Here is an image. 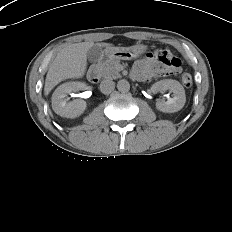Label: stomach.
I'll return each mask as SVG.
<instances>
[{
    "label": "stomach",
    "mask_w": 232,
    "mask_h": 232,
    "mask_svg": "<svg viewBox=\"0 0 232 232\" xmlns=\"http://www.w3.org/2000/svg\"><path fill=\"white\" fill-rule=\"evenodd\" d=\"M146 46L137 45L131 48H107L103 52V59L105 62L114 60H129L137 57L146 51Z\"/></svg>",
    "instance_id": "stomach-1"
}]
</instances>
